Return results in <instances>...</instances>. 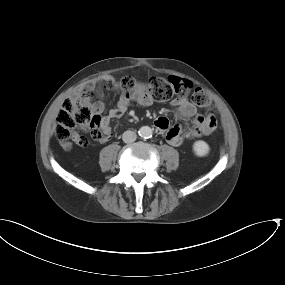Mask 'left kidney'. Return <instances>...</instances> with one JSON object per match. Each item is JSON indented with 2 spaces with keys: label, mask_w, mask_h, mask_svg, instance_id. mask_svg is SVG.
I'll return each instance as SVG.
<instances>
[{
  "label": "left kidney",
  "mask_w": 285,
  "mask_h": 285,
  "mask_svg": "<svg viewBox=\"0 0 285 285\" xmlns=\"http://www.w3.org/2000/svg\"><path fill=\"white\" fill-rule=\"evenodd\" d=\"M193 151L197 156L202 157L209 153L210 148L205 141L199 140L193 144Z\"/></svg>",
  "instance_id": "obj_1"
}]
</instances>
